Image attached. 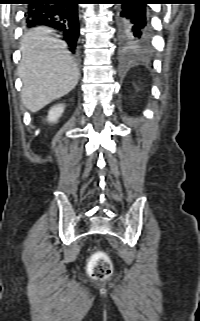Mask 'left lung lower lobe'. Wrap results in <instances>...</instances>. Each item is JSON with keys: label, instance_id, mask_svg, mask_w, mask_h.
<instances>
[{"label": "left lung lower lobe", "instance_id": "0a47b994", "mask_svg": "<svg viewBox=\"0 0 200 321\" xmlns=\"http://www.w3.org/2000/svg\"><path fill=\"white\" fill-rule=\"evenodd\" d=\"M154 0H118L116 22L122 51L129 54H144L151 48L150 23L146 4Z\"/></svg>", "mask_w": 200, "mask_h": 321}]
</instances>
